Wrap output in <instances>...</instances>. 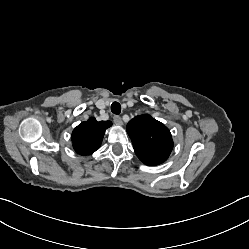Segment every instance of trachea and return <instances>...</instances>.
<instances>
[{
  "instance_id": "obj_1",
  "label": "trachea",
  "mask_w": 249,
  "mask_h": 249,
  "mask_svg": "<svg viewBox=\"0 0 249 249\" xmlns=\"http://www.w3.org/2000/svg\"><path fill=\"white\" fill-rule=\"evenodd\" d=\"M111 111L116 115L120 114V112H121L120 104L118 102H116V101L113 102L112 105H111Z\"/></svg>"
}]
</instances>
